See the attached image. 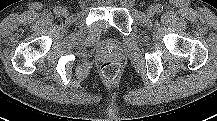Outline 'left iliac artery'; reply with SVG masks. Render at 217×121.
Returning <instances> with one entry per match:
<instances>
[{
	"mask_svg": "<svg viewBox=\"0 0 217 121\" xmlns=\"http://www.w3.org/2000/svg\"><path fill=\"white\" fill-rule=\"evenodd\" d=\"M162 10H163V6L160 5V4H158V5L156 6V11H157L158 13H160V12H162Z\"/></svg>",
	"mask_w": 217,
	"mask_h": 121,
	"instance_id": "left-iliac-artery-1",
	"label": "left iliac artery"
}]
</instances>
